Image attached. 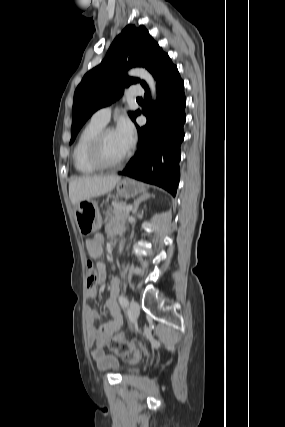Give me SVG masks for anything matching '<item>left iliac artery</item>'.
I'll return each instance as SVG.
<instances>
[{
    "instance_id": "1",
    "label": "left iliac artery",
    "mask_w": 285,
    "mask_h": 427,
    "mask_svg": "<svg viewBox=\"0 0 285 427\" xmlns=\"http://www.w3.org/2000/svg\"><path fill=\"white\" fill-rule=\"evenodd\" d=\"M119 303L124 308L128 307V304H129L127 298L125 296H123V295L119 296Z\"/></svg>"
}]
</instances>
